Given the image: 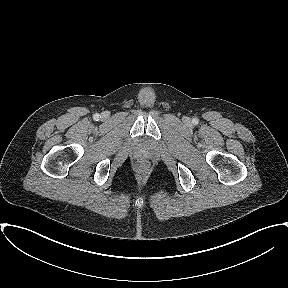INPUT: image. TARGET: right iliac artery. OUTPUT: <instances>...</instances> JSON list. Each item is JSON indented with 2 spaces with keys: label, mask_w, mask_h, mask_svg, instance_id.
<instances>
[{
  "label": "right iliac artery",
  "mask_w": 288,
  "mask_h": 288,
  "mask_svg": "<svg viewBox=\"0 0 288 288\" xmlns=\"http://www.w3.org/2000/svg\"><path fill=\"white\" fill-rule=\"evenodd\" d=\"M93 118H94V120L98 121L99 118H101V116H100L99 114H95V115L93 116Z\"/></svg>",
  "instance_id": "82829eb1"
}]
</instances>
